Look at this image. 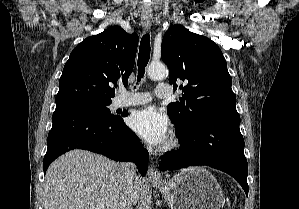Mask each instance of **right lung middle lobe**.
Returning a JSON list of instances; mask_svg holds the SVG:
<instances>
[{"label":"right lung middle lobe","mask_w":299,"mask_h":209,"mask_svg":"<svg viewBox=\"0 0 299 209\" xmlns=\"http://www.w3.org/2000/svg\"><path fill=\"white\" fill-rule=\"evenodd\" d=\"M110 104L111 102H74L63 105H57L56 107H72L75 109H79L83 112L92 114L95 117L104 121H117L118 116L111 114L110 110L108 109V105Z\"/></svg>","instance_id":"obj_1"}]
</instances>
